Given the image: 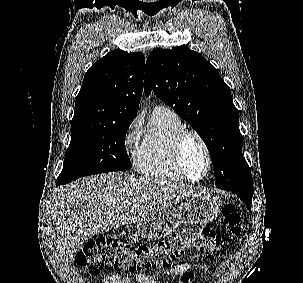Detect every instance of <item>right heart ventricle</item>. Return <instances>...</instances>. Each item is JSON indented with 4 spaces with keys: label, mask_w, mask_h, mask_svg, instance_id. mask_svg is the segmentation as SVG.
<instances>
[{
    "label": "right heart ventricle",
    "mask_w": 303,
    "mask_h": 283,
    "mask_svg": "<svg viewBox=\"0 0 303 283\" xmlns=\"http://www.w3.org/2000/svg\"><path fill=\"white\" fill-rule=\"evenodd\" d=\"M184 128L180 117L172 110L164 107L155 109L145 135L135 149L137 171L152 178L185 180L176 168L172 154L173 141Z\"/></svg>",
    "instance_id": "e07e8e85"
}]
</instances>
